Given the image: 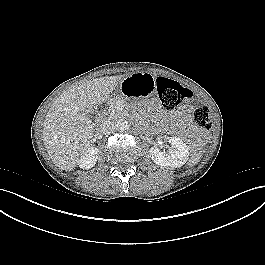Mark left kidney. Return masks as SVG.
Returning a JSON list of instances; mask_svg holds the SVG:
<instances>
[{
    "label": "left kidney",
    "instance_id": "5707ae66",
    "mask_svg": "<svg viewBox=\"0 0 265 265\" xmlns=\"http://www.w3.org/2000/svg\"><path fill=\"white\" fill-rule=\"evenodd\" d=\"M171 144L167 152L161 151L157 146H153L149 150V154L154 163L164 167L179 168L184 165L189 156L187 145L176 136L169 139Z\"/></svg>",
    "mask_w": 265,
    "mask_h": 265
}]
</instances>
